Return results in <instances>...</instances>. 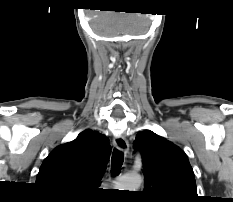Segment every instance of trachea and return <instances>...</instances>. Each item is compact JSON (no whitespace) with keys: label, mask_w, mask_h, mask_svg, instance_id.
<instances>
[{"label":"trachea","mask_w":233,"mask_h":202,"mask_svg":"<svg viewBox=\"0 0 233 202\" xmlns=\"http://www.w3.org/2000/svg\"><path fill=\"white\" fill-rule=\"evenodd\" d=\"M123 161H124L123 152L114 149L112 154V174L114 176L119 175Z\"/></svg>","instance_id":"obj_1"}]
</instances>
